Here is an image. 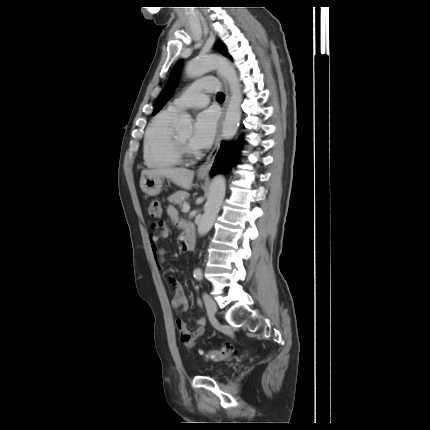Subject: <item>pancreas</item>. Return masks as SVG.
Segmentation results:
<instances>
[{"label":"pancreas","mask_w":430,"mask_h":430,"mask_svg":"<svg viewBox=\"0 0 430 430\" xmlns=\"http://www.w3.org/2000/svg\"><path fill=\"white\" fill-rule=\"evenodd\" d=\"M188 197H189L188 192L179 190V191H176L174 194L170 195L168 197V201L182 206L184 199Z\"/></svg>","instance_id":"cf45deb5"}]
</instances>
